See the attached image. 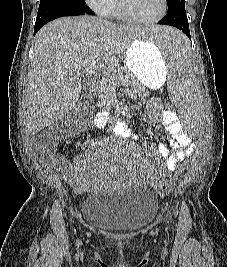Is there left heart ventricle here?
Returning <instances> with one entry per match:
<instances>
[{"label":"left heart ventricle","instance_id":"b2bd125f","mask_svg":"<svg viewBox=\"0 0 227 267\" xmlns=\"http://www.w3.org/2000/svg\"><path fill=\"white\" fill-rule=\"evenodd\" d=\"M128 10L141 19H152L161 11V0H125Z\"/></svg>","mask_w":227,"mask_h":267}]
</instances>
